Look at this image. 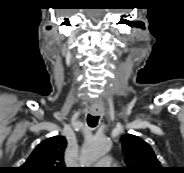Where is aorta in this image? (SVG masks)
<instances>
[{
    "mask_svg": "<svg viewBox=\"0 0 184 173\" xmlns=\"http://www.w3.org/2000/svg\"><path fill=\"white\" fill-rule=\"evenodd\" d=\"M111 147L110 140L106 137L92 136L88 138L81 151V162L84 165H91L104 156Z\"/></svg>",
    "mask_w": 184,
    "mask_h": 173,
    "instance_id": "762f6f07",
    "label": "aorta"
}]
</instances>
